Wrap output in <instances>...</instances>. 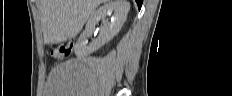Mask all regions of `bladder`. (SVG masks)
Masks as SVG:
<instances>
[{"label":"bladder","mask_w":232,"mask_h":96,"mask_svg":"<svg viewBox=\"0 0 232 96\" xmlns=\"http://www.w3.org/2000/svg\"><path fill=\"white\" fill-rule=\"evenodd\" d=\"M47 89H50V86H49V85H47ZM50 92H54V91H50Z\"/></svg>","instance_id":"31cf9c89"}]
</instances>
